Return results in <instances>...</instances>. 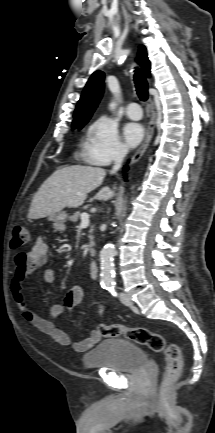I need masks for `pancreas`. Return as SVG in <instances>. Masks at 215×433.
Listing matches in <instances>:
<instances>
[{"mask_svg":"<svg viewBox=\"0 0 215 433\" xmlns=\"http://www.w3.org/2000/svg\"><path fill=\"white\" fill-rule=\"evenodd\" d=\"M81 216H82V213H80L78 211V212H75L72 216H70L69 220L72 222H77L78 219L81 218ZM89 238H90V247H92L93 246V236L90 235ZM90 252L92 255H94V250L92 248L90 249Z\"/></svg>","mask_w":215,"mask_h":433,"instance_id":"obj_1","label":"pancreas"}]
</instances>
